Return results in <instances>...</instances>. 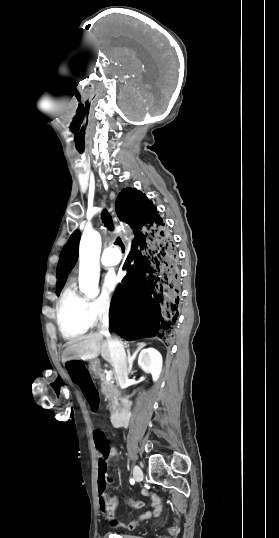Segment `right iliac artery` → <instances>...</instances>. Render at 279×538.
I'll list each match as a JSON object with an SVG mask.
<instances>
[{
    "label": "right iliac artery",
    "mask_w": 279,
    "mask_h": 538,
    "mask_svg": "<svg viewBox=\"0 0 279 538\" xmlns=\"http://www.w3.org/2000/svg\"><path fill=\"white\" fill-rule=\"evenodd\" d=\"M134 482H135V481H134V479H133V478H131V479H130V483H131V484L133 485V484H134Z\"/></svg>",
    "instance_id": "1"
}]
</instances>
